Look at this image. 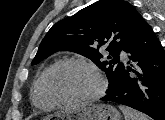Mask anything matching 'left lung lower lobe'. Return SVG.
Instances as JSON below:
<instances>
[{"instance_id":"obj_1","label":"left lung lower lobe","mask_w":165,"mask_h":120,"mask_svg":"<svg viewBox=\"0 0 165 120\" xmlns=\"http://www.w3.org/2000/svg\"><path fill=\"white\" fill-rule=\"evenodd\" d=\"M129 61L122 66L119 84L100 100L120 103L165 120V52L145 22L124 50Z\"/></svg>"}]
</instances>
